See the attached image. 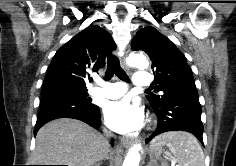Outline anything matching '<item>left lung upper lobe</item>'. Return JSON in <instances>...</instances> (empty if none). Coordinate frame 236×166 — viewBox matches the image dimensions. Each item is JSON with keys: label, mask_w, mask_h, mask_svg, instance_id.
<instances>
[{"label": "left lung upper lobe", "mask_w": 236, "mask_h": 166, "mask_svg": "<svg viewBox=\"0 0 236 166\" xmlns=\"http://www.w3.org/2000/svg\"><path fill=\"white\" fill-rule=\"evenodd\" d=\"M134 51L142 50L152 60L156 78L153 81L156 92L163 95L149 94L147 99L156 109L164 106L180 93L197 92L192 71L181 51L157 29L147 26L139 30L132 41Z\"/></svg>", "instance_id": "1"}]
</instances>
